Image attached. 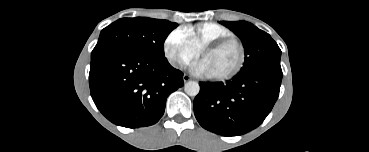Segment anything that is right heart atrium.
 <instances>
[{
	"label": "right heart atrium",
	"mask_w": 369,
	"mask_h": 152,
	"mask_svg": "<svg viewBox=\"0 0 369 152\" xmlns=\"http://www.w3.org/2000/svg\"><path fill=\"white\" fill-rule=\"evenodd\" d=\"M163 52L168 62L176 69L185 68L199 54L191 46L182 29H175L167 35Z\"/></svg>",
	"instance_id": "1"
}]
</instances>
